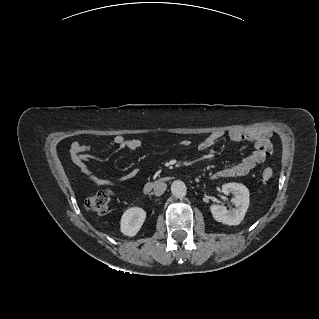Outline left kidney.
<instances>
[{
  "instance_id": "5707ae66",
  "label": "left kidney",
  "mask_w": 319,
  "mask_h": 319,
  "mask_svg": "<svg viewBox=\"0 0 319 319\" xmlns=\"http://www.w3.org/2000/svg\"><path fill=\"white\" fill-rule=\"evenodd\" d=\"M222 192L226 195L233 194L232 203L235 205L233 210H227L224 205L213 204L210 211L214 219L226 225H239L249 207V190L240 183H226L222 185Z\"/></svg>"
}]
</instances>
